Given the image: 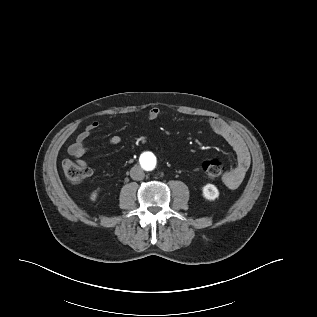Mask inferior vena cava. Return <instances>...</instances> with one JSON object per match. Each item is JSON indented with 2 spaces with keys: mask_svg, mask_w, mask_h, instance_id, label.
Wrapping results in <instances>:
<instances>
[{
  "mask_svg": "<svg viewBox=\"0 0 317 317\" xmlns=\"http://www.w3.org/2000/svg\"><path fill=\"white\" fill-rule=\"evenodd\" d=\"M130 176L133 180H143L145 177V173L140 166H134L130 170Z\"/></svg>",
  "mask_w": 317,
  "mask_h": 317,
  "instance_id": "inferior-vena-cava-1",
  "label": "inferior vena cava"
}]
</instances>
